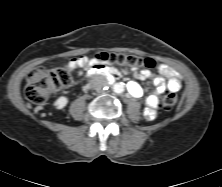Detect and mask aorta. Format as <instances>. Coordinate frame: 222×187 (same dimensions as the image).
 Here are the masks:
<instances>
[{
  "label": "aorta",
  "mask_w": 222,
  "mask_h": 187,
  "mask_svg": "<svg viewBox=\"0 0 222 187\" xmlns=\"http://www.w3.org/2000/svg\"><path fill=\"white\" fill-rule=\"evenodd\" d=\"M113 89L116 93H122L125 89V86L123 83H116L114 84Z\"/></svg>",
  "instance_id": "obj_1"
}]
</instances>
